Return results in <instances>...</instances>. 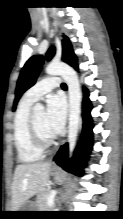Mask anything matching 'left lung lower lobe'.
I'll list each match as a JSON object with an SVG mask.
<instances>
[{
  "label": "left lung lower lobe",
  "mask_w": 123,
  "mask_h": 219,
  "mask_svg": "<svg viewBox=\"0 0 123 219\" xmlns=\"http://www.w3.org/2000/svg\"><path fill=\"white\" fill-rule=\"evenodd\" d=\"M75 69H78L76 66ZM88 91L84 89V100H83V132L81 136L80 145L75 151L74 157L69 164L68 160V144L63 145L58 151L54 158V161L64 168L65 170L74 173L78 176L83 175V168L86 166V161L88 160V154L92 147V128L90 118V110L92 108L91 103L88 98Z\"/></svg>",
  "instance_id": "left-lung-lower-lobe-1"
}]
</instances>
